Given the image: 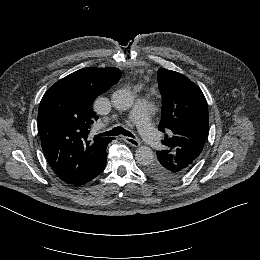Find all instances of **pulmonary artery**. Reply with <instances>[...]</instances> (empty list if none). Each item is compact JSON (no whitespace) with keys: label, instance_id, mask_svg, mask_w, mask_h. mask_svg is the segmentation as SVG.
Wrapping results in <instances>:
<instances>
[{"label":"pulmonary artery","instance_id":"obj_1","mask_svg":"<svg viewBox=\"0 0 260 260\" xmlns=\"http://www.w3.org/2000/svg\"><path fill=\"white\" fill-rule=\"evenodd\" d=\"M126 121L130 125L139 124L141 136L149 142L152 150L159 151L163 147V142L156 131L150 115V105L144 99H139L135 103V111L126 116Z\"/></svg>","mask_w":260,"mask_h":260}]
</instances>
